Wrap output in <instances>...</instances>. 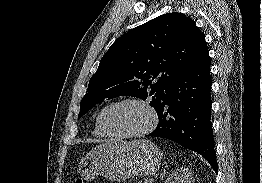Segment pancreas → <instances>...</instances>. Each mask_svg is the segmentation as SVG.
Wrapping results in <instances>:
<instances>
[{"label": "pancreas", "mask_w": 262, "mask_h": 183, "mask_svg": "<svg viewBox=\"0 0 262 183\" xmlns=\"http://www.w3.org/2000/svg\"><path fill=\"white\" fill-rule=\"evenodd\" d=\"M141 183H150V180H145L144 182Z\"/></svg>", "instance_id": "1"}]
</instances>
